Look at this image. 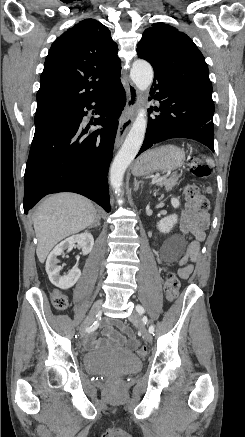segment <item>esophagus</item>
<instances>
[{
	"label": "esophagus",
	"mask_w": 245,
	"mask_h": 437,
	"mask_svg": "<svg viewBox=\"0 0 245 437\" xmlns=\"http://www.w3.org/2000/svg\"><path fill=\"white\" fill-rule=\"evenodd\" d=\"M125 90L127 95V102L116 134V139H115L116 149L121 145L128 129L132 124L133 113L138 101V89L135 87V85H133V83L126 82Z\"/></svg>",
	"instance_id": "obj_1"
}]
</instances>
